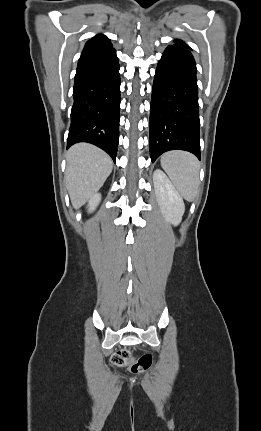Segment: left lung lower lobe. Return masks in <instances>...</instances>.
<instances>
[{
  "instance_id": "0a47b994",
  "label": "left lung lower lobe",
  "mask_w": 261,
  "mask_h": 431,
  "mask_svg": "<svg viewBox=\"0 0 261 431\" xmlns=\"http://www.w3.org/2000/svg\"><path fill=\"white\" fill-rule=\"evenodd\" d=\"M196 64L191 52L170 45L154 77L149 147L151 161L170 150H185L200 159Z\"/></svg>"
}]
</instances>
